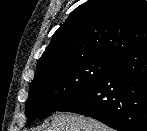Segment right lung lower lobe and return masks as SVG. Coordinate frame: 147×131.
I'll return each mask as SVG.
<instances>
[{"label": "right lung lower lobe", "instance_id": "right-lung-lower-lobe-1", "mask_svg": "<svg viewBox=\"0 0 147 131\" xmlns=\"http://www.w3.org/2000/svg\"><path fill=\"white\" fill-rule=\"evenodd\" d=\"M59 111L94 118L117 131H147V42Z\"/></svg>", "mask_w": 147, "mask_h": 131}]
</instances>
